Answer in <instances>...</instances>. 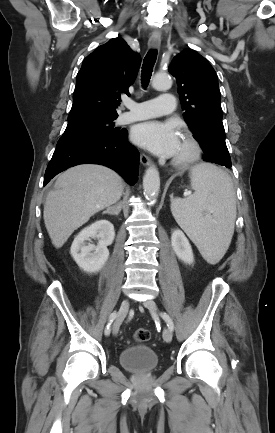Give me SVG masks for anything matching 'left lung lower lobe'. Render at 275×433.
Here are the masks:
<instances>
[{"instance_id":"1","label":"left lung lower lobe","mask_w":275,"mask_h":433,"mask_svg":"<svg viewBox=\"0 0 275 433\" xmlns=\"http://www.w3.org/2000/svg\"><path fill=\"white\" fill-rule=\"evenodd\" d=\"M223 166H226L227 168H230L231 167V162L230 163H228V162L224 163Z\"/></svg>"}]
</instances>
